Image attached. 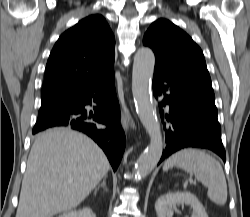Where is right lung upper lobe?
<instances>
[{"label": "right lung upper lobe", "mask_w": 250, "mask_h": 217, "mask_svg": "<svg viewBox=\"0 0 250 217\" xmlns=\"http://www.w3.org/2000/svg\"><path fill=\"white\" fill-rule=\"evenodd\" d=\"M114 35L101 15H91L65 31L47 61L41 102L89 87L113 73Z\"/></svg>", "instance_id": "right-lung-upper-lobe-1"}]
</instances>
